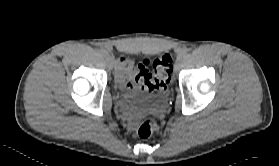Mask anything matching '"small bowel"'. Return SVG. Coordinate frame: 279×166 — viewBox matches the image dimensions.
<instances>
[{
    "mask_svg": "<svg viewBox=\"0 0 279 166\" xmlns=\"http://www.w3.org/2000/svg\"><path fill=\"white\" fill-rule=\"evenodd\" d=\"M136 67L127 58H120L116 62V81L120 86L132 89Z\"/></svg>",
    "mask_w": 279,
    "mask_h": 166,
    "instance_id": "c3829d8e",
    "label": "small bowel"
}]
</instances>
